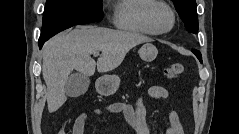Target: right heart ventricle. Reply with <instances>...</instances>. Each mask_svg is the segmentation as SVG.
I'll use <instances>...</instances> for the list:
<instances>
[{"label":"right heart ventricle","instance_id":"obj_1","mask_svg":"<svg viewBox=\"0 0 239 134\" xmlns=\"http://www.w3.org/2000/svg\"><path fill=\"white\" fill-rule=\"evenodd\" d=\"M153 0H118L115 3L114 23L122 30L153 35L145 21V11Z\"/></svg>","mask_w":239,"mask_h":134}]
</instances>
